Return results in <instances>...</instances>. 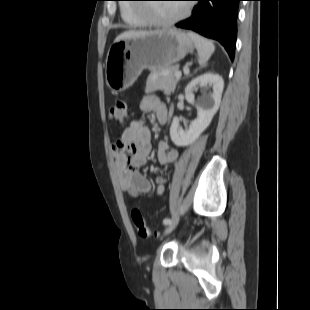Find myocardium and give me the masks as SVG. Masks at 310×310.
<instances>
[{"label": "myocardium", "instance_id": "1", "mask_svg": "<svg viewBox=\"0 0 310 310\" xmlns=\"http://www.w3.org/2000/svg\"><path fill=\"white\" fill-rule=\"evenodd\" d=\"M145 11H148V22L150 25L153 26H170L173 24H176L177 22L183 20L184 18H186L191 11V4H188L186 7L183 8L182 12L170 19H162V18H157L155 17L152 12L150 10H143V9H137V12L139 13V15L141 16H145Z\"/></svg>", "mask_w": 310, "mask_h": 310}]
</instances>
